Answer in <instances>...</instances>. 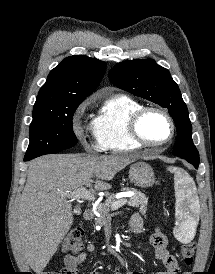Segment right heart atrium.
Returning <instances> with one entry per match:
<instances>
[{"label": "right heart atrium", "mask_w": 215, "mask_h": 274, "mask_svg": "<svg viewBox=\"0 0 215 274\" xmlns=\"http://www.w3.org/2000/svg\"><path fill=\"white\" fill-rule=\"evenodd\" d=\"M75 133L77 137L83 142L85 148L90 152H99L103 151L102 147L95 140V138H87L83 128L79 124H75L74 126Z\"/></svg>", "instance_id": "d8ad5b80"}]
</instances>
